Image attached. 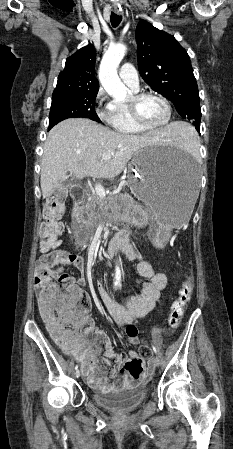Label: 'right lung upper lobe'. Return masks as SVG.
I'll use <instances>...</instances> for the list:
<instances>
[{"label": "right lung upper lobe", "mask_w": 233, "mask_h": 449, "mask_svg": "<svg viewBox=\"0 0 233 449\" xmlns=\"http://www.w3.org/2000/svg\"><path fill=\"white\" fill-rule=\"evenodd\" d=\"M96 52L92 44L79 49L70 56L60 73L57 86L53 92H92L99 90V82L95 77Z\"/></svg>", "instance_id": "right-lung-upper-lobe-1"}]
</instances>
